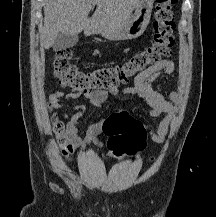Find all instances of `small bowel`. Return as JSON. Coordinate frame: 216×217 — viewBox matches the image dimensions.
Segmentation results:
<instances>
[{"label": "small bowel", "mask_w": 216, "mask_h": 217, "mask_svg": "<svg viewBox=\"0 0 216 217\" xmlns=\"http://www.w3.org/2000/svg\"><path fill=\"white\" fill-rule=\"evenodd\" d=\"M175 69L174 62L170 59H164L136 76L134 85L122 89L111 87L106 89H97L93 91H72L64 93L61 90L53 92L49 98V106L53 110H63V116L68 119L65 126V138L67 147L70 151L82 150L86 147H101L102 142L99 135L104 130V125L108 119L102 118L88 125L85 136L81 138L78 135V127L82 123V117L85 113V105L77 104L72 109H68L67 102L74 101L83 97L89 104L101 108L111 96L132 95L149 107V113L153 117L165 115L160 121L156 130H150L145 123H142L150 139L155 143L165 141L176 109L179 95L176 91H171L169 99L156 92L152 84L162 75H169Z\"/></svg>", "instance_id": "obj_1"}]
</instances>
